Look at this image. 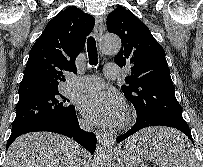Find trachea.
Returning <instances> with one entry per match:
<instances>
[{
  "mask_svg": "<svg viewBox=\"0 0 203 167\" xmlns=\"http://www.w3.org/2000/svg\"><path fill=\"white\" fill-rule=\"evenodd\" d=\"M87 52L89 57V64L96 66L98 64V53H97L96 41L93 36H90L87 39Z\"/></svg>",
  "mask_w": 203,
  "mask_h": 167,
  "instance_id": "3493384b",
  "label": "trachea"
}]
</instances>
